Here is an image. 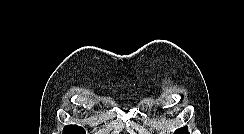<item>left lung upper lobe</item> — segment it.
<instances>
[{"label": "left lung upper lobe", "instance_id": "obj_1", "mask_svg": "<svg viewBox=\"0 0 244 134\" xmlns=\"http://www.w3.org/2000/svg\"><path fill=\"white\" fill-rule=\"evenodd\" d=\"M175 134H188L187 127H183V128L177 129L175 131Z\"/></svg>", "mask_w": 244, "mask_h": 134}]
</instances>
